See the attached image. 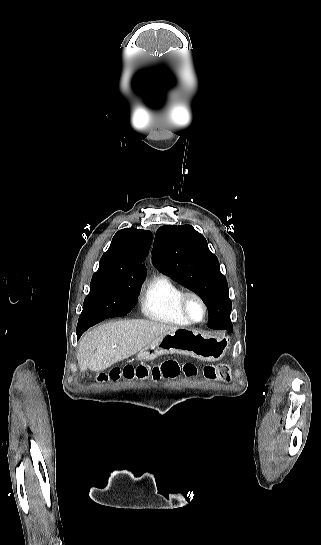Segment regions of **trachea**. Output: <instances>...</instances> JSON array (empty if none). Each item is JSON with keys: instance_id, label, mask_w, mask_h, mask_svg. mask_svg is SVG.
Masks as SVG:
<instances>
[{"instance_id": "obj_1", "label": "trachea", "mask_w": 321, "mask_h": 545, "mask_svg": "<svg viewBox=\"0 0 321 545\" xmlns=\"http://www.w3.org/2000/svg\"><path fill=\"white\" fill-rule=\"evenodd\" d=\"M156 110H157V112H159V113H160V112H162V110H163V109H162V107H160V106H159V107H157V109H156Z\"/></svg>"}]
</instances>
